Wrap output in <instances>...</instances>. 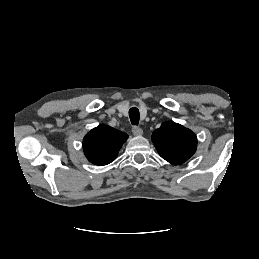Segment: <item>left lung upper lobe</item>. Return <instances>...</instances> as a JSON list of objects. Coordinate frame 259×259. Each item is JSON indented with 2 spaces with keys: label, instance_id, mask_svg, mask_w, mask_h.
Segmentation results:
<instances>
[{
  "label": "left lung upper lobe",
  "instance_id": "left-lung-upper-lobe-1",
  "mask_svg": "<svg viewBox=\"0 0 259 259\" xmlns=\"http://www.w3.org/2000/svg\"><path fill=\"white\" fill-rule=\"evenodd\" d=\"M152 142L160 156L174 165L187 161L197 147V137L191 130L170 121L153 132Z\"/></svg>",
  "mask_w": 259,
  "mask_h": 259
}]
</instances>
